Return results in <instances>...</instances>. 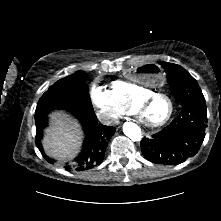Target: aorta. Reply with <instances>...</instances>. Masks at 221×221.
<instances>
[{
  "mask_svg": "<svg viewBox=\"0 0 221 221\" xmlns=\"http://www.w3.org/2000/svg\"><path fill=\"white\" fill-rule=\"evenodd\" d=\"M124 134L130 138L132 141H140L142 137V132L140 127L133 122H126L123 125Z\"/></svg>",
  "mask_w": 221,
  "mask_h": 221,
  "instance_id": "aorta-1",
  "label": "aorta"
}]
</instances>
